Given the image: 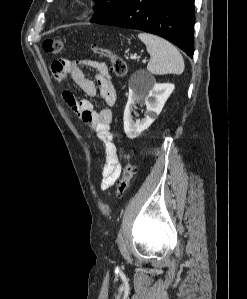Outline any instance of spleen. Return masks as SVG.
Instances as JSON below:
<instances>
[{
	"instance_id": "1",
	"label": "spleen",
	"mask_w": 247,
	"mask_h": 299,
	"mask_svg": "<svg viewBox=\"0 0 247 299\" xmlns=\"http://www.w3.org/2000/svg\"><path fill=\"white\" fill-rule=\"evenodd\" d=\"M138 37L146 45L147 52L151 56L147 65L150 73L179 75L184 71V59L169 41L149 33H139Z\"/></svg>"
}]
</instances>
